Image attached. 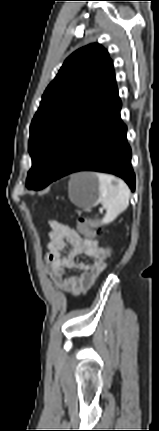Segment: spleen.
<instances>
[{
	"label": "spleen",
	"instance_id": "obj_1",
	"mask_svg": "<svg viewBox=\"0 0 159 431\" xmlns=\"http://www.w3.org/2000/svg\"><path fill=\"white\" fill-rule=\"evenodd\" d=\"M99 180L100 202L106 209L101 224L113 222L129 204L130 190L119 178L103 173H95Z\"/></svg>",
	"mask_w": 159,
	"mask_h": 431
}]
</instances>
